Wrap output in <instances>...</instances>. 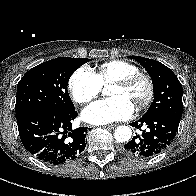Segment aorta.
Wrapping results in <instances>:
<instances>
[{"instance_id": "obj_1", "label": "aorta", "mask_w": 196, "mask_h": 196, "mask_svg": "<svg viewBox=\"0 0 196 196\" xmlns=\"http://www.w3.org/2000/svg\"><path fill=\"white\" fill-rule=\"evenodd\" d=\"M103 95H107L106 89H104ZM114 136L117 141L126 142L131 139L132 130L129 126L121 125L115 130Z\"/></svg>"}]
</instances>
